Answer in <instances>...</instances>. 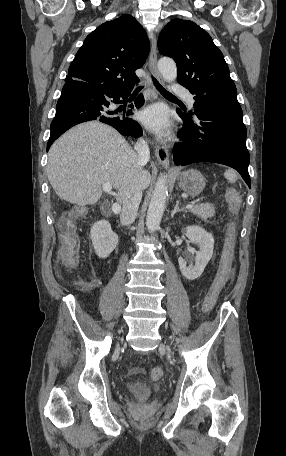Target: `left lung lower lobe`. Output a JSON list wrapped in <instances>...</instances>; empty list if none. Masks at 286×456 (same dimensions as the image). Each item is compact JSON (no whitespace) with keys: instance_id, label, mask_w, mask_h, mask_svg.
<instances>
[{"instance_id":"left-lung-lower-lobe-1","label":"left lung lower lobe","mask_w":286,"mask_h":456,"mask_svg":"<svg viewBox=\"0 0 286 456\" xmlns=\"http://www.w3.org/2000/svg\"><path fill=\"white\" fill-rule=\"evenodd\" d=\"M177 112L184 120V125L179 133L183 142L173 149L175 164H224L236 169L250 187V156L246 148L247 130L243 115L209 106L195 108L194 119L179 109Z\"/></svg>"}]
</instances>
